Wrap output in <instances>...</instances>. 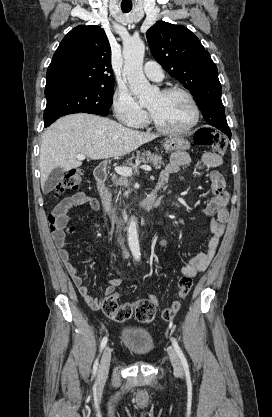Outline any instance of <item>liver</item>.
Wrapping results in <instances>:
<instances>
[{"label":"liver","mask_w":272,"mask_h":417,"mask_svg":"<svg viewBox=\"0 0 272 417\" xmlns=\"http://www.w3.org/2000/svg\"><path fill=\"white\" fill-rule=\"evenodd\" d=\"M158 135L127 128L108 118L79 113L64 116L45 130L40 147L41 187L55 168L80 167L77 154L93 160L120 157Z\"/></svg>","instance_id":"1"}]
</instances>
